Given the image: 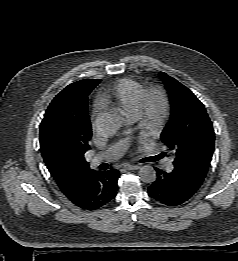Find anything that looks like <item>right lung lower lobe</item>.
I'll use <instances>...</instances> for the list:
<instances>
[{"instance_id":"right-lung-lower-lobe-1","label":"right lung lower lobe","mask_w":238,"mask_h":261,"mask_svg":"<svg viewBox=\"0 0 238 261\" xmlns=\"http://www.w3.org/2000/svg\"><path fill=\"white\" fill-rule=\"evenodd\" d=\"M119 176L115 169L94 171L83 187L68 199L84 210L99 209L115 198Z\"/></svg>"}]
</instances>
